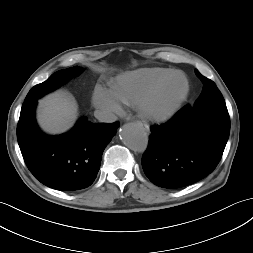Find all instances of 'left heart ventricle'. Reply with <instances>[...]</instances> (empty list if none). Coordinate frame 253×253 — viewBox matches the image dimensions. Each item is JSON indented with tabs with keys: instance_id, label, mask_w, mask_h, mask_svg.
<instances>
[{
	"instance_id": "obj_1",
	"label": "left heart ventricle",
	"mask_w": 253,
	"mask_h": 253,
	"mask_svg": "<svg viewBox=\"0 0 253 253\" xmlns=\"http://www.w3.org/2000/svg\"><path fill=\"white\" fill-rule=\"evenodd\" d=\"M184 88V80L182 78L175 79L171 85L164 92L160 106H165L170 101H172Z\"/></svg>"
}]
</instances>
